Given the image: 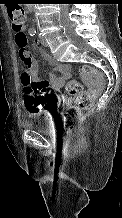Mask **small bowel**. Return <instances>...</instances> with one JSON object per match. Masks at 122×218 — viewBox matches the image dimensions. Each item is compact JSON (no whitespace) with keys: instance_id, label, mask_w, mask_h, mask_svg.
<instances>
[{"instance_id":"small-bowel-1","label":"small bowel","mask_w":122,"mask_h":218,"mask_svg":"<svg viewBox=\"0 0 122 218\" xmlns=\"http://www.w3.org/2000/svg\"><path fill=\"white\" fill-rule=\"evenodd\" d=\"M24 28L22 31L24 32ZM29 54V59L25 61L24 63L28 67V72L30 73L32 82L37 85V89L34 93V102L36 105H39L42 107V109L48 104L47 101V87H51L54 91L60 92L62 89V86L64 82L70 78L71 76V67L67 64H60L57 62L56 59H54L51 55H49L46 52H41L42 58L47 61L51 66L54 67L53 73L50 75L49 80H42L38 76V63L37 61ZM90 87H92V83L88 82ZM25 95L23 94V98ZM61 100L63 102H70V100L62 96Z\"/></svg>"}]
</instances>
